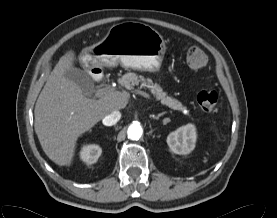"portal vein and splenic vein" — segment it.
I'll use <instances>...</instances> for the list:
<instances>
[{"label": "portal vein and splenic vein", "instance_id": "portal-vein-and-splenic-vein-1", "mask_svg": "<svg viewBox=\"0 0 277 218\" xmlns=\"http://www.w3.org/2000/svg\"><path fill=\"white\" fill-rule=\"evenodd\" d=\"M113 91H114V88H112V87H110V86H109V87H105V88L99 89V90L95 93V97H96V98H99V97H101V96H103V95H105V94H107V93L113 92ZM136 93L139 94V95H141V96H143V97H145V98L150 99V95L147 94L146 92H143V91H141V90H136Z\"/></svg>", "mask_w": 277, "mask_h": 218}]
</instances>
